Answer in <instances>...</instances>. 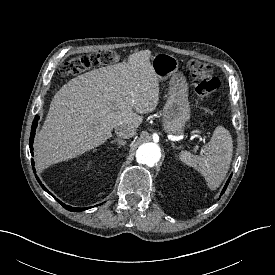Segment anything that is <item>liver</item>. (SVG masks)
<instances>
[{"label": "liver", "mask_w": 275, "mask_h": 275, "mask_svg": "<svg viewBox=\"0 0 275 275\" xmlns=\"http://www.w3.org/2000/svg\"><path fill=\"white\" fill-rule=\"evenodd\" d=\"M150 56V50L135 52L128 62L92 70L62 86L36 137L39 169L100 146L116 126H140L139 114L154 111L159 102Z\"/></svg>", "instance_id": "obj_1"}]
</instances>
